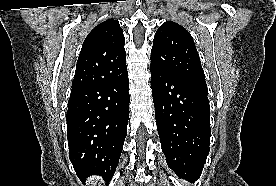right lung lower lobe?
Segmentation results:
<instances>
[{
    "label": "right lung lower lobe",
    "instance_id": "obj_1",
    "mask_svg": "<svg viewBox=\"0 0 276 186\" xmlns=\"http://www.w3.org/2000/svg\"><path fill=\"white\" fill-rule=\"evenodd\" d=\"M128 74L120 80L71 90L68 102L69 158L78 177L90 175L110 181L127 134L129 118Z\"/></svg>",
    "mask_w": 276,
    "mask_h": 186
}]
</instances>
